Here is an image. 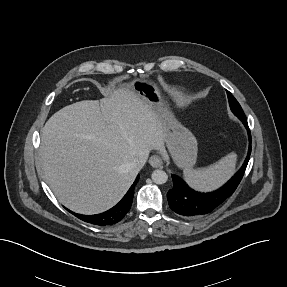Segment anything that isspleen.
I'll return each instance as SVG.
<instances>
[{"instance_id":"obj_1","label":"spleen","mask_w":287,"mask_h":287,"mask_svg":"<svg viewBox=\"0 0 287 287\" xmlns=\"http://www.w3.org/2000/svg\"><path fill=\"white\" fill-rule=\"evenodd\" d=\"M236 161L237 155L232 152L208 167L184 169V178L196 190L211 191L231 178L235 172Z\"/></svg>"}]
</instances>
